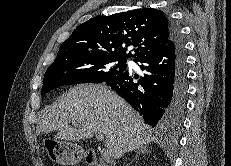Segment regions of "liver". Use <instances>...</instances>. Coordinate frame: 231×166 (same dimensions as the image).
Listing matches in <instances>:
<instances>
[{"label":"liver","mask_w":231,"mask_h":166,"mask_svg":"<svg viewBox=\"0 0 231 166\" xmlns=\"http://www.w3.org/2000/svg\"><path fill=\"white\" fill-rule=\"evenodd\" d=\"M36 131H58L55 139L72 142L102 133L114 159L155 140L138 112L106 86L94 84L74 86L46 107Z\"/></svg>","instance_id":"6515ba94"}]
</instances>
